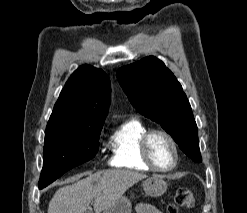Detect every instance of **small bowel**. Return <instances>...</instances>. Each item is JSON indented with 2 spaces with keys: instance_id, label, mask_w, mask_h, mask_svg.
<instances>
[{
  "instance_id": "1",
  "label": "small bowel",
  "mask_w": 247,
  "mask_h": 213,
  "mask_svg": "<svg viewBox=\"0 0 247 213\" xmlns=\"http://www.w3.org/2000/svg\"><path fill=\"white\" fill-rule=\"evenodd\" d=\"M137 213H162L158 208L151 204L140 203L136 207Z\"/></svg>"
}]
</instances>
